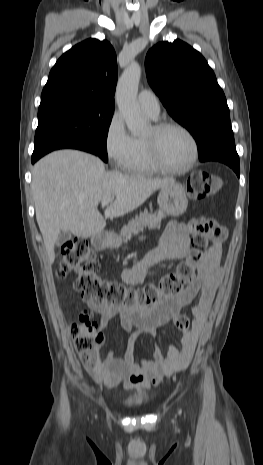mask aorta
<instances>
[{"instance_id": "obj_1", "label": "aorta", "mask_w": 263, "mask_h": 465, "mask_svg": "<svg viewBox=\"0 0 263 465\" xmlns=\"http://www.w3.org/2000/svg\"><path fill=\"white\" fill-rule=\"evenodd\" d=\"M141 67L132 62L121 75L116 89V102L128 129L134 133L142 132L147 124L137 102Z\"/></svg>"}]
</instances>
